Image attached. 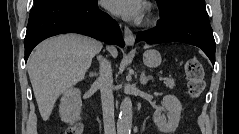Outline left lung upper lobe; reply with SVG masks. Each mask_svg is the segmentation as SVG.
Returning <instances> with one entry per match:
<instances>
[{
  "mask_svg": "<svg viewBox=\"0 0 239 134\" xmlns=\"http://www.w3.org/2000/svg\"><path fill=\"white\" fill-rule=\"evenodd\" d=\"M160 8L161 16H165L170 13L179 3L185 0H157ZM205 1V0H201Z\"/></svg>",
  "mask_w": 239,
  "mask_h": 134,
  "instance_id": "1",
  "label": "left lung upper lobe"
}]
</instances>
